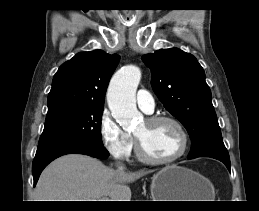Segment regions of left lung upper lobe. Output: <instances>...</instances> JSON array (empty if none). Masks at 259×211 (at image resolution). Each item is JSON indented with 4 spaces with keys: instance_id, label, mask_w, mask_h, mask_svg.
Wrapping results in <instances>:
<instances>
[{
    "instance_id": "1",
    "label": "left lung upper lobe",
    "mask_w": 259,
    "mask_h": 211,
    "mask_svg": "<svg viewBox=\"0 0 259 211\" xmlns=\"http://www.w3.org/2000/svg\"><path fill=\"white\" fill-rule=\"evenodd\" d=\"M152 88L166 109L187 129L189 158L204 154L229 156L223 143L205 73L197 59L178 48L146 54Z\"/></svg>"
}]
</instances>
